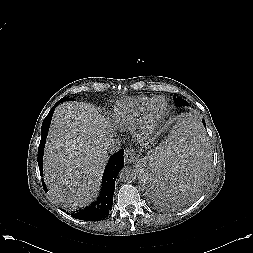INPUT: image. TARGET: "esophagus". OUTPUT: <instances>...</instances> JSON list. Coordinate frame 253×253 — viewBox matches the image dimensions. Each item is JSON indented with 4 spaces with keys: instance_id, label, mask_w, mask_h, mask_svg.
<instances>
[{
    "instance_id": "34e87169",
    "label": "esophagus",
    "mask_w": 253,
    "mask_h": 253,
    "mask_svg": "<svg viewBox=\"0 0 253 253\" xmlns=\"http://www.w3.org/2000/svg\"><path fill=\"white\" fill-rule=\"evenodd\" d=\"M136 153L134 149H126L124 154V160L126 163H133L136 160Z\"/></svg>"
}]
</instances>
